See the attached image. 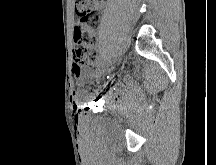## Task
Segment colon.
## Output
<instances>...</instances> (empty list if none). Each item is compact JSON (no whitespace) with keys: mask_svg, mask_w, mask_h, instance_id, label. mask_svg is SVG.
Returning <instances> with one entry per match:
<instances>
[{"mask_svg":"<svg viewBox=\"0 0 216 165\" xmlns=\"http://www.w3.org/2000/svg\"><path fill=\"white\" fill-rule=\"evenodd\" d=\"M104 0H76L78 16L74 28V58L80 67L94 69L97 65L96 30L100 22L99 8Z\"/></svg>","mask_w":216,"mask_h":165,"instance_id":"colon-1","label":"colon"}]
</instances>
